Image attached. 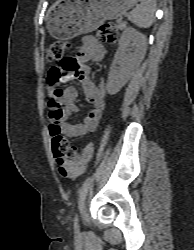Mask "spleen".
<instances>
[{"label":"spleen","instance_id":"spleen-1","mask_svg":"<svg viewBox=\"0 0 194 250\" xmlns=\"http://www.w3.org/2000/svg\"><path fill=\"white\" fill-rule=\"evenodd\" d=\"M141 3L128 16L129 21L140 28H149L154 22L156 0H139Z\"/></svg>","mask_w":194,"mask_h":250}]
</instances>
